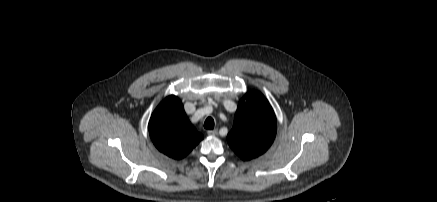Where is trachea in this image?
<instances>
[{"label": "trachea", "mask_w": 437, "mask_h": 202, "mask_svg": "<svg viewBox=\"0 0 437 202\" xmlns=\"http://www.w3.org/2000/svg\"><path fill=\"white\" fill-rule=\"evenodd\" d=\"M204 128L212 130L214 128V120L212 117H208L204 122Z\"/></svg>", "instance_id": "trachea-1"}]
</instances>
